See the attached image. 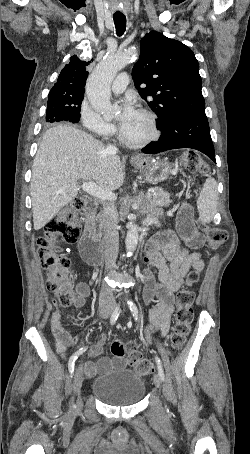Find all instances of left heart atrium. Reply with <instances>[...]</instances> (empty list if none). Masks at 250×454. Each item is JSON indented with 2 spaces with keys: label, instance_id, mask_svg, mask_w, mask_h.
Here are the masks:
<instances>
[{
  "label": "left heart atrium",
  "instance_id": "1",
  "mask_svg": "<svg viewBox=\"0 0 250 454\" xmlns=\"http://www.w3.org/2000/svg\"><path fill=\"white\" fill-rule=\"evenodd\" d=\"M137 110L131 100H126L122 106V113L119 118L120 129L124 128L137 114Z\"/></svg>",
  "mask_w": 250,
  "mask_h": 454
}]
</instances>
